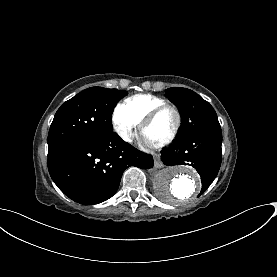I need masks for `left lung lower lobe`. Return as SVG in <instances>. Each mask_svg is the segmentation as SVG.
Instances as JSON below:
<instances>
[{
  "label": "left lung lower lobe",
  "instance_id": "0a47b994",
  "mask_svg": "<svg viewBox=\"0 0 277 277\" xmlns=\"http://www.w3.org/2000/svg\"><path fill=\"white\" fill-rule=\"evenodd\" d=\"M221 130H205L178 138L176 143L162 151L165 165H191L201 176L202 190L210 186L221 165Z\"/></svg>",
  "mask_w": 277,
  "mask_h": 277
}]
</instances>
